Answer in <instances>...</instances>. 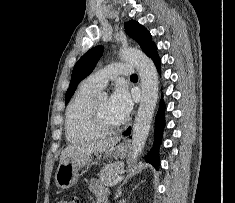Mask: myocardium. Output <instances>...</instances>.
Segmentation results:
<instances>
[{"label":"myocardium","instance_id":"myocardium-1","mask_svg":"<svg viewBox=\"0 0 235 203\" xmlns=\"http://www.w3.org/2000/svg\"><path fill=\"white\" fill-rule=\"evenodd\" d=\"M97 100L98 99H94L91 104V122H92L93 127L100 135H103V136L113 135V134L118 133L122 129L124 123L122 122L115 127L107 126L101 118Z\"/></svg>","mask_w":235,"mask_h":203}]
</instances>
